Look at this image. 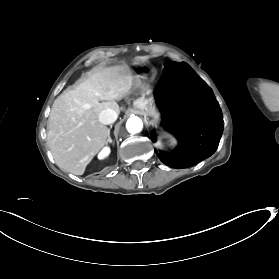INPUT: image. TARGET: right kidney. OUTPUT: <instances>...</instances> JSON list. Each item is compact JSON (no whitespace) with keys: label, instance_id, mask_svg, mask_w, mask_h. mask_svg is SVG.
I'll list each match as a JSON object with an SVG mask.
<instances>
[{"label":"right kidney","instance_id":"obj_1","mask_svg":"<svg viewBox=\"0 0 279 279\" xmlns=\"http://www.w3.org/2000/svg\"><path fill=\"white\" fill-rule=\"evenodd\" d=\"M109 154V150L107 148H105L99 155L100 158H104L105 156H107Z\"/></svg>","mask_w":279,"mask_h":279}]
</instances>
